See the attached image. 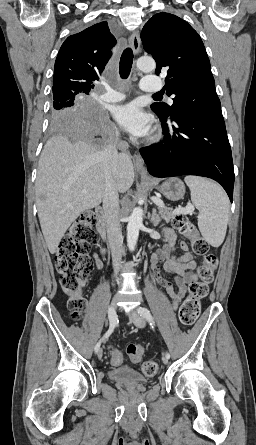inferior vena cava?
<instances>
[{
	"instance_id": "obj_1",
	"label": "inferior vena cava",
	"mask_w": 256,
	"mask_h": 445,
	"mask_svg": "<svg viewBox=\"0 0 256 445\" xmlns=\"http://www.w3.org/2000/svg\"><path fill=\"white\" fill-rule=\"evenodd\" d=\"M118 136L119 132H116V137ZM102 163L105 174V191L103 198L104 218L112 254L114 273L115 276H117L123 253V236L118 216L119 194L114 181L118 165V152L115 144H110L103 150Z\"/></svg>"
}]
</instances>
